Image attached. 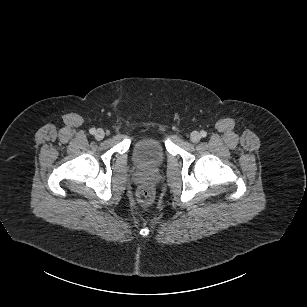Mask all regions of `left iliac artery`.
Segmentation results:
<instances>
[{
  "label": "left iliac artery",
  "instance_id": "44dca946",
  "mask_svg": "<svg viewBox=\"0 0 307 307\" xmlns=\"http://www.w3.org/2000/svg\"><path fill=\"white\" fill-rule=\"evenodd\" d=\"M200 135H201V137H206V136H207V132L204 131V130H202V131L200 132Z\"/></svg>",
  "mask_w": 307,
  "mask_h": 307
}]
</instances>
